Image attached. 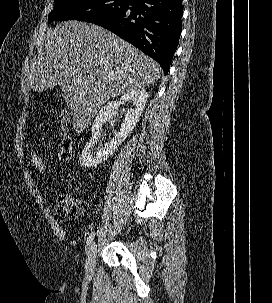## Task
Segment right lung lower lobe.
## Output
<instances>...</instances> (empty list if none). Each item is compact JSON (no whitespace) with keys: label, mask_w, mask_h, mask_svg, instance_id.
I'll use <instances>...</instances> for the list:
<instances>
[{"label":"right lung lower lobe","mask_w":272,"mask_h":303,"mask_svg":"<svg viewBox=\"0 0 272 303\" xmlns=\"http://www.w3.org/2000/svg\"><path fill=\"white\" fill-rule=\"evenodd\" d=\"M182 0H132L129 8L94 21L155 59L168 73L182 31Z\"/></svg>","instance_id":"obj_1"}]
</instances>
